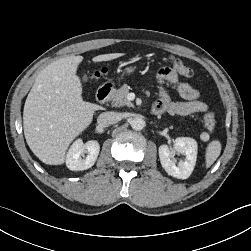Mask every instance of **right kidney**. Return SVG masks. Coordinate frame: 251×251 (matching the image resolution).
Instances as JSON below:
<instances>
[{"instance_id": "ca27d5eb", "label": "right kidney", "mask_w": 251, "mask_h": 251, "mask_svg": "<svg viewBox=\"0 0 251 251\" xmlns=\"http://www.w3.org/2000/svg\"><path fill=\"white\" fill-rule=\"evenodd\" d=\"M100 145L95 140L85 144L81 139L76 140L66 156V165L72 171H82L91 168L99 155ZM88 153L85 158L84 154Z\"/></svg>"}]
</instances>
